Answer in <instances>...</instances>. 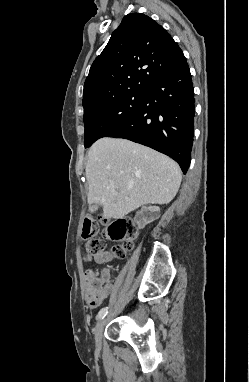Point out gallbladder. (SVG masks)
<instances>
[{"label":"gallbladder","instance_id":"1","mask_svg":"<svg viewBox=\"0 0 249 382\" xmlns=\"http://www.w3.org/2000/svg\"><path fill=\"white\" fill-rule=\"evenodd\" d=\"M98 208H99V204H92L89 206V211L93 213V212L97 211Z\"/></svg>","mask_w":249,"mask_h":382}]
</instances>
